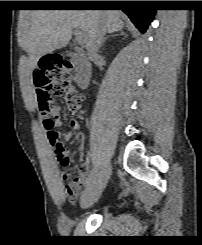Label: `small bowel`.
I'll return each instance as SVG.
<instances>
[{"label":"small bowel","instance_id":"obj_1","mask_svg":"<svg viewBox=\"0 0 202 245\" xmlns=\"http://www.w3.org/2000/svg\"><path fill=\"white\" fill-rule=\"evenodd\" d=\"M51 114L54 117V121L52 126L47 127L45 126L46 132H47V139L48 142L49 138H48V134L52 131H55L60 139V136H62L65 140H70L72 138V133L69 131H65L63 133H59L57 131L58 128H60L62 126V121L60 119V109L57 106H54L52 108V112ZM55 153V164L59 169H63L66 168L69 165V157H70V152L66 151V150H54ZM92 171L90 170V153H87L86 156V160L85 163L83 165V167L81 168V170L79 171L78 175L75 176L71 183L68 185H65L64 187V191L66 193V195L70 198L73 199L79 188L84 184V182L91 176ZM59 177L63 182H67L70 179V173L67 171H59ZM70 188H72L70 190Z\"/></svg>","mask_w":202,"mask_h":245}]
</instances>
